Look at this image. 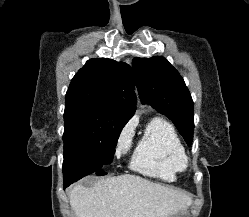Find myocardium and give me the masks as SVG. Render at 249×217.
Instances as JSON below:
<instances>
[{
  "label": "myocardium",
  "mask_w": 249,
  "mask_h": 217,
  "mask_svg": "<svg viewBox=\"0 0 249 217\" xmlns=\"http://www.w3.org/2000/svg\"><path fill=\"white\" fill-rule=\"evenodd\" d=\"M188 164H189L188 158L185 157V158L182 160V167H183V169H186V168L188 167Z\"/></svg>",
  "instance_id": "1"
}]
</instances>
